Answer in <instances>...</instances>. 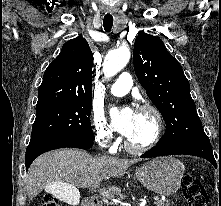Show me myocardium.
Instances as JSON below:
<instances>
[{
	"label": "myocardium",
	"mask_w": 221,
	"mask_h": 206,
	"mask_svg": "<svg viewBox=\"0 0 221 206\" xmlns=\"http://www.w3.org/2000/svg\"><path fill=\"white\" fill-rule=\"evenodd\" d=\"M137 112H144L151 115L154 123L152 136L147 142L141 145L132 144L128 139L125 140L124 145L129 152L141 154L154 147L160 140L163 132V118L158 108L149 102L139 105Z\"/></svg>",
	"instance_id": "obj_1"
}]
</instances>
